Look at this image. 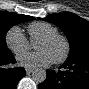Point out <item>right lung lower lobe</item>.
Masks as SVG:
<instances>
[{
	"mask_svg": "<svg viewBox=\"0 0 89 89\" xmlns=\"http://www.w3.org/2000/svg\"><path fill=\"white\" fill-rule=\"evenodd\" d=\"M15 62L16 60L11 52L0 56V89H15L19 80L26 75L25 69L22 67L9 69L3 67Z\"/></svg>",
	"mask_w": 89,
	"mask_h": 89,
	"instance_id": "right-lung-lower-lobe-1",
	"label": "right lung lower lobe"
}]
</instances>
